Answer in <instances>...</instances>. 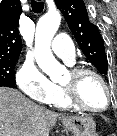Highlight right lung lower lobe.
Wrapping results in <instances>:
<instances>
[{
    "label": "right lung lower lobe",
    "mask_w": 117,
    "mask_h": 136,
    "mask_svg": "<svg viewBox=\"0 0 117 136\" xmlns=\"http://www.w3.org/2000/svg\"><path fill=\"white\" fill-rule=\"evenodd\" d=\"M2 86H6V85H0V87H2ZM7 87H13V86H7Z\"/></svg>",
    "instance_id": "1"
}]
</instances>
